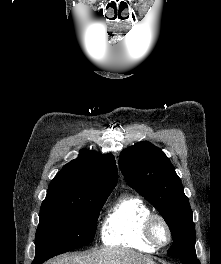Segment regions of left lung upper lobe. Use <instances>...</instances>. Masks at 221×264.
I'll use <instances>...</instances> for the list:
<instances>
[{
	"mask_svg": "<svg viewBox=\"0 0 221 264\" xmlns=\"http://www.w3.org/2000/svg\"><path fill=\"white\" fill-rule=\"evenodd\" d=\"M119 166L128 185L148 200L168 224L173 244L167 253L179 259L196 257L192 210L165 153L141 141L121 152Z\"/></svg>",
	"mask_w": 221,
	"mask_h": 264,
	"instance_id": "1",
	"label": "left lung upper lobe"
}]
</instances>
